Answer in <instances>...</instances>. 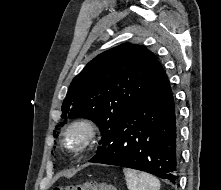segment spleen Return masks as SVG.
<instances>
[{"mask_svg":"<svg viewBox=\"0 0 221 190\" xmlns=\"http://www.w3.org/2000/svg\"><path fill=\"white\" fill-rule=\"evenodd\" d=\"M128 190H160L159 180L147 173L134 169H123Z\"/></svg>","mask_w":221,"mask_h":190,"instance_id":"1","label":"spleen"}]
</instances>
